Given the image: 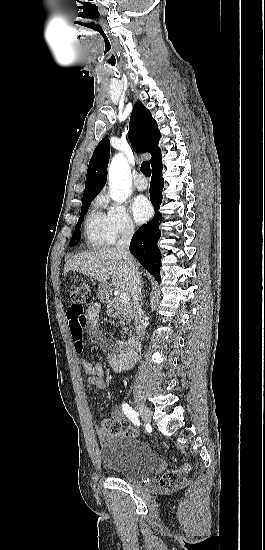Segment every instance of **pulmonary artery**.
<instances>
[{
    "label": "pulmonary artery",
    "instance_id": "pulmonary-artery-1",
    "mask_svg": "<svg viewBox=\"0 0 265 550\" xmlns=\"http://www.w3.org/2000/svg\"><path fill=\"white\" fill-rule=\"evenodd\" d=\"M147 186H148L147 180L142 174H139L134 181V187L139 191H143L147 188Z\"/></svg>",
    "mask_w": 265,
    "mask_h": 550
}]
</instances>
